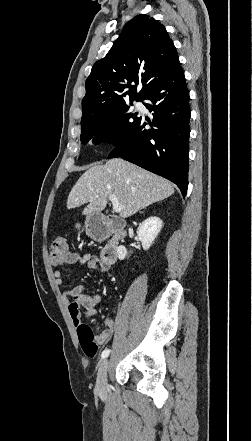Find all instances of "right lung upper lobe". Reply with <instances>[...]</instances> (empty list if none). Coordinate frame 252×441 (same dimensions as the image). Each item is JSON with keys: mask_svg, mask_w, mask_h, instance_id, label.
I'll list each match as a JSON object with an SVG mask.
<instances>
[{"mask_svg": "<svg viewBox=\"0 0 252 441\" xmlns=\"http://www.w3.org/2000/svg\"><path fill=\"white\" fill-rule=\"evenodd\" d=\"M165 27L148 15H138L123 28L116 44L97 61L85 82L81 124L130 101L142 100L149 89L178 61ZM143 87L137 93V85Z\"/></svg>", "mask_w": 252, "mask_h": 441, "instance_id": "1", "label": "right lung upper lobe"}]
</instances>
